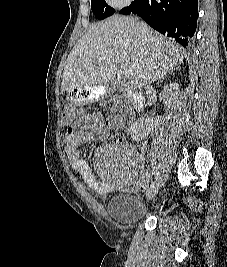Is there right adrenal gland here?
Here are the masks:
<instances>
[{
  "mask_svg": "<svg viewBox=\"0 0 227 267\" xmlns=\"http://www.w3.org/2000/svg\"><path fill=\"white\" fill-rule=\"evenodd\" d=\"M165 76H166V74L162 75V76L158 79L157 84H158L160 81H163V80L165 79Z\"/></svg>",
  "mask_w": 227,
  "mask_h": 267,
  "instance_id": "obj_1",
  "label": "right adrenal gland"
}]
</instances>
